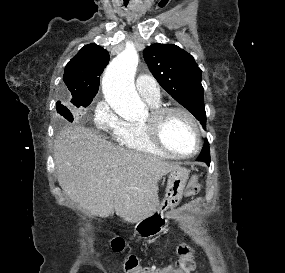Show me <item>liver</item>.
Wrapping results in <instances>:
<instances>
[{
    "mask_svg": "<svg viewBox=\"0 0 285 273\" xmlns=\"http://www.w3.org/2000/svg\"><path fill=\"white\" fill-rule=\"evenodd\" d=\"M54 160L59 185L90 215L114 213L130 223L154 214L160 204L158 182L179 164L127 150L80 125L56 136Z\"/></svg>",
    "mask_w": 285,
    "mask_h": 273,
    "instance_id": "1",
    "label": "liver"
}]
</instances>
